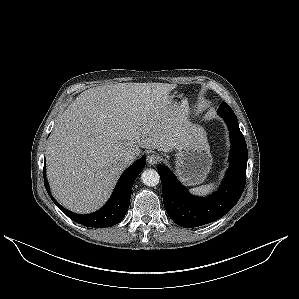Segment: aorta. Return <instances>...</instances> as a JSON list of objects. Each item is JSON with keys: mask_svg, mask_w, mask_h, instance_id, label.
<instances>
[{"mask_svg": "<svg viewBox=\"0 0 299 299\" xmlns=\"http://www.w3.org/2000/svg\"><path fill=\"white\" fill-rule=\"evenodd\" d=\"M142 182L147 186H156L160 182L159 173L154 169H147L141 174Z\"/></svg>", "mask_w": 299, "mask_h": 299, "instance_id": "aorta-1", "label": "aorta"}]
</instances>
